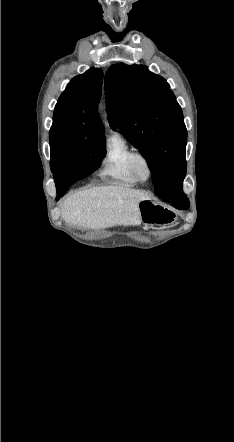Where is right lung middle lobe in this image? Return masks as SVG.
Here are the masks:
<instances>
[{"mask_svg": "<svg viewBox=\"0 0 234 442\" xmlns=\"http://www.w3.org/2000/svg\"><path fill=\"white\" fill-rule=\"evenodd\" d=\"M49 140L51 171L54 175L69 169L67 177L60 180L64 179L70 184L95 171L106 155L102 147L105 138L83 134L68 122H53Z\"/></svg>", "mask_w": 234, "mask_h": 442, "instance_id": "1", "label": "right lung middle lobe"}]
</instances>
